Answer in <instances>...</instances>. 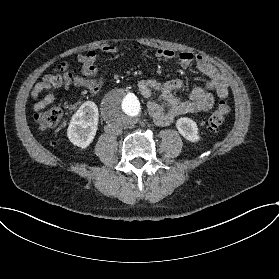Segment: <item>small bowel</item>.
<instances>
[{"mask_svg": "<svg viewBox=\"0 0 279 279\" xmlns=\"http://www.w3.org/2000/svg\"><path fill=\"white\" fill-rule=\"evenodd\" d=\"M115 51L114 45L105 44L99 50L90 49L80 54L78 61L82 66V75L63 79L55 74H46L32 89L33 109L38 112L54 102L53 88L61 87L65 90L73 87L83 88L91 94H97L103 81V76L99 74L97 68L99 54H112ZM155 57L160 60L177 59L183 68L196 64L206 78L204 86H196L191 89L188 100H181L175 95L176 91L184 87V83L180 79L166 82L154 78L140 80L137 84L138 91L147 100V112L157 125L166 126L181 115L210 110L214 103V94L218 98L228 96L227 79L203 56L191 52H176L171 48H159L155 52ZM42 93H45L43 97H41Z\"/></svg>", "mask_w": 279, "mask_h": 279, "instance_id": "obj_1", "label": "small bowel"}]
</instances>
